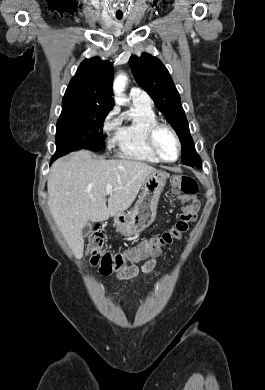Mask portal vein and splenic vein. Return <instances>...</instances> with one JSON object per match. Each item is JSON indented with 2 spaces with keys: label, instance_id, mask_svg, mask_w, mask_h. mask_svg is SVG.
<instances>
[{
  "label": "portal vein and splenic vein",
  "instance_id": "obj_1",
  "mask_svg": "<svg viewBox=\"0 0 265 390\" xmlns=\"http://www.w3.org/2000/svg\"><path fill=\"white\" fill-rule=\"evenodd\" d=\"M113 191V187L111 184H108L106 187V195H109Z\"/></svg>",
  "mask_w": 265,
  "mask_h": 390
}]
</instances>
